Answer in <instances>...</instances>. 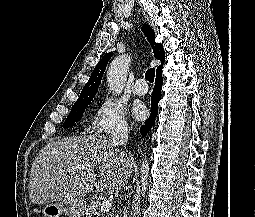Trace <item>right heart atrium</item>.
<instances>
[{
  "label": "right heart atrium",
  "instance_id": "obj_1",
  "mask_svg": "<svg viewBox=\"0 0 255 217\" xmlns=\"http://www.w3.org/2000/svg\"><path fill=\"white\" fill-rule=\"evenodd\" d=\"M87 129L94 134L125 133L127 131L125 106L112 97L102 99L96 106Z\"/></svg>",
  "mask_w": 255,
  "mask_h": 217
}]
</instances>
